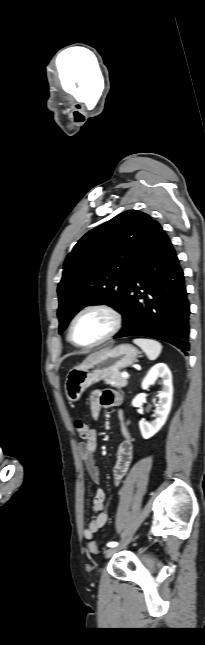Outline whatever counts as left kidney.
Masks as SVG:
<instances>
[{"mask_svg":"<svg viewBox=\"0 0 205 645\" xmlns=\"http://www.w3.org/2000/svg\"><path fill=\"white\" fill-rule=\"evenodd\" d=\"M158 378H161L163 389L159 392V404L156 407L155 419L148 422L144 419L140 420L139 427L144 439H149L155 435L165 424L172 405L173 385L172 374L164 363L154 365L142 382V389L147 390Z\"/></svg>","mask_w":205,"mask_h":645,"instance_id":"1","label":"left kidney"}]
</instances>
